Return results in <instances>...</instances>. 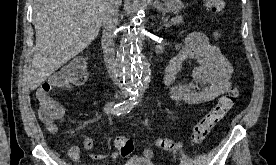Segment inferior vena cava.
Returning a JSON list of instances; mask_svg holds the SVG:
<instances>
[{"label":"inferior vena cava","mask_w":276,"mask_h":165,"mask_svg":"<svg viewBox=\"0 0 276 165\" xmlns=\"http://www.w3.org/2000/svg\"><path fill=\"white\" fill-rule=\"evenodd\" d=\"M118 6L119 0H105L103 5V36L102 48L105 56V63L108 71L114 75L116 73V62L114 60V30L118 26Z\"/></svg>","instance_id":"602c4592"}]
</instances>
